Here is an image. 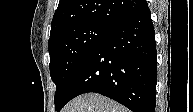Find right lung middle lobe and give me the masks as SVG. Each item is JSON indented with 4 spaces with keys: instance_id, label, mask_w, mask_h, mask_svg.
<instances>
[{
    "instance_id": "1",
    "label": "right lung middle lobe",
    "mask_w": 193,
    "mask_h": 112,
    "mask_svg": "<svg viewBox=\"0 0 193 112\" xmlns=\"http://www.w3.org/2000/svg\"><path fill=\"white\" fill-rule=\"evenodd\" d=\"M111 28L82 23L67 27L49 39L50 75L56 85L55 109L60 111L80 67Z\"/></svg>"
}]
</instances>
